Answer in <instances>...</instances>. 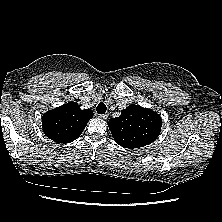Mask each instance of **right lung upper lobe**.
I'll list each match as a JSON object with an SVG mask.
<instances>
[{
  "instance_id": "obj_1",
  "label": "right lung upper lobe",
  "mask_w": 222,
  "mask_h": 222,
  "mask_svg": "<svg viewBox=\"0 0 222 222\" xmlns=\"http://www.w3.org/2000/svg\"><path fill=\"white\" fill-rule=\"evenodd\" d=\"M93 117L90 109H81L71 101L46 112L42 116L44 134L57 143H70L77 139Z\"/></svg>"
}]
</instances>
